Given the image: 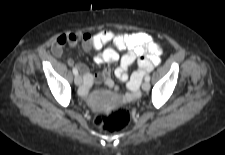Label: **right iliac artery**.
I'll use <instances>...</instances> for the list:
<instances>
[{
	"mask_svg": "<svg viewBox=\"0 0 225 155\" xmlns=\"http://www.w3.org/2000/svg\"><path fill=\"white\" fill-rule=\"evenodd\" d=\"M72 71L75 76L78 75V70L76 68H73Z\"/></svg>",
	"mask_w": 225,
	"mask_h": 155,
	"instance_id": "right-iliac-artery-1",
	"label": "right iliac artery"
}]
</instances>
